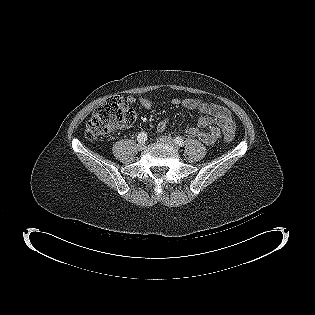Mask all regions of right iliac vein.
Segmentation results:
<instances>
[{"mask_svg": "<svg viewBox=\"0 0 315 315\" xmlns=\"http://www.w3.org/2000/svg\"><path fill=\"white\" fill-rule=\"evenodd\" d=\"M137 147H138V150L142 151L145 149L146 144L144 142H141V143H138Z\"/></svg>", "mask_w": 315, "mask_h": 315, "instance_id": "63e3f726", "label": "right iliac vein"}]
</instances>
